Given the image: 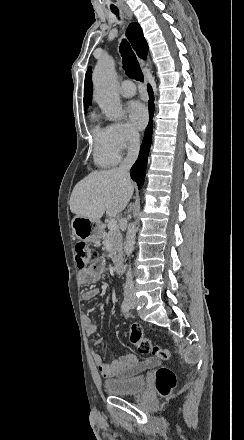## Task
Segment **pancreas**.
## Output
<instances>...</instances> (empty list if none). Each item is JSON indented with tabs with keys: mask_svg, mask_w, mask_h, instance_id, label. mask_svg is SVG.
I'll list each match as a JSON object with an SVG mask.
<instances>
[{
	"mask_svg": "<svg viewBox=\"0 0 244 440\" xmlns=\"http://www.w3.org/2000/svg\"><path fill=\"white\" fill-rule=\"evenodd\" d=\"M100 240H109L111 244L110 258H112L113 262H117L119 256H122V234L120 230H112V232L110 230L107 234H104L102 230L100 236H98V242Z\"/></svg>",
	"mask_w": 244,
	"mask_h": 440,
	"instance_id": "cf45deb5",
	"label": "pancreas"
}]
</instances>
